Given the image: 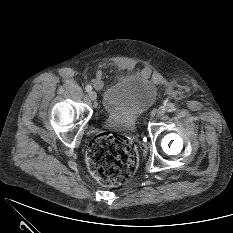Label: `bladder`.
Wrapping results in <instances>:
<instances>
[{
  "mask_svg": "<svg viewBox=\"0 0 233 233\" xmlns=\"http://www.w3.org/2000/svg\"><path fill=\"white\" fill-rule=\"evenodd\" d=\"M157 94L158 88L149 78L126 73L103 89L101 105L109 117L129 126L153 105Z\"/></svg>",
  "mask_w": 233,
  "mask_h": 233,
  "instance_id": "1",
  "label": "bladder"
}]
</instances>
